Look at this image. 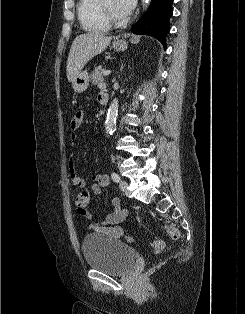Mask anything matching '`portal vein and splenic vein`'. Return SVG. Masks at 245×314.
<instances>
[{"label": "portal vein and splenic vein", "mask_w": 245, "mask_h": 314, "mask_svg": "<svg viewBox=\"0 0 245 314\" xmlns=\"http://www.w3.org/2000/svg\"><path fill=\"white\" fill-rule=\"evenodd\" d=\"M110 74H111V70L105 71V72L103 73L104 76H108V75H110Z\"/></svg>", "instance_id": "18ae733b"}]
</instances>
